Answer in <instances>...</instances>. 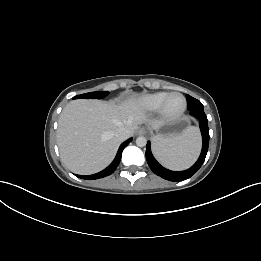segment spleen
<instances>
[{"instance_id": "spleen-1", "label": "spleen", "mask_w": 261, "mask_h": 261, "mask_svg": "<svg viewBox=\"0 0 261 261\" xmlns=\"http://www.w3.org/2000/svg\"><path fill=\"white\" fill-rule=\"evenodd\" d=\"M201 147L198 129L187 127L172 137H154L153 152L167 168L181 170L188 168L197 158Z\"/></svg>"}]
</instances>
